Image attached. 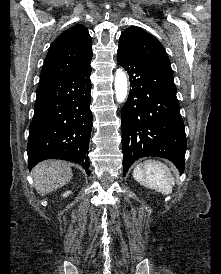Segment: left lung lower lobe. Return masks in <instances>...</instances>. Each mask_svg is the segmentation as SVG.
<instances>
[{
    "mask_svg": "<svg viewBox=\"0 0 221 274\" xmlns=\"http://www.w3.org/2000/svg\"><path fill=\"white\" fill-rule=\"evenodd\" d=\"M117 60L132 87L121 110L124 173L146 156L168 159L183 173L187 143L173 75L120 49Z\"/></svg>",
    "mask_w": 221,
    "mask_h": 274,
    "instance_id": "obj_1",
    "label": "left lung lower lobe"
}]
</instances>
